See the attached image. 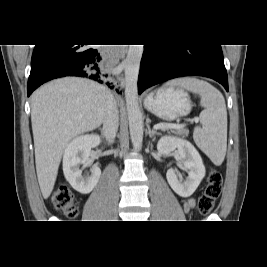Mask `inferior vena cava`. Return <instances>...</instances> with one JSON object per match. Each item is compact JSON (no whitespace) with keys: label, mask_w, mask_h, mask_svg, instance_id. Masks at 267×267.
I'll list each match as a JSON object with an SVG mask.
<instances>
[{"label":"inferior vena cava","mask_w":267,"mask_h":267,"mask_svg":"<svg viewBox=\"0 0 267 267\" xmlns=\"http://www.w3.org/2000/svg\"><path fill=\"white\" fill-rule=\"evenodd\" d=\"M119 126V117L116 101L110 94L107 102V113L103 122V136L109 143H113Z\"/></svg>","instance_id":"602c4592"}]
</instances>
